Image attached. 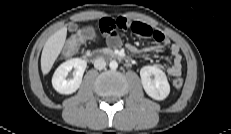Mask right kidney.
I'll return each mask as SVG.
<instances>
[{"mask_svg":"<svg viewBox=\"0 0 231 134\" xmlns=\"http://www.w3.org/2000/svg\"><path fill=\"white\" fill-rule=\"evenodd\" d=\"M87 62L81 58H73L62 63L54 72L52 77V85L60 94H72L82 82ZM74 68L73 78L66 79L68 73Z\"/></svg>","mask_w":231,"mask_h":134,"instance_id":"ca27d5eb","label":"right kidney"}]
</instances>
